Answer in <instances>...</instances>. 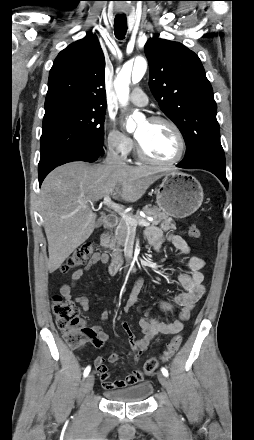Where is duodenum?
I'll return each instance as SVG.
<instances>
[{"instance_id":"duodenum-1","label":"duodenum","mask_w":254,"mask_h":440,"mask_svg":"<svg viewBox=\"0 0 254 440\" xmlns=\"http://www.w3.org/2000/svg\"><path fill=\"white\" fill-rule=\"evenodd\" d=\"M118 224V219L115 215H107L104 219L102 228L104 231L111 230L116 227ZM121 263L119 261H116L112 265V271H117L120 267Z\"/></svg>"}]
</instances>
